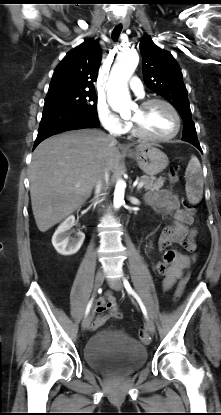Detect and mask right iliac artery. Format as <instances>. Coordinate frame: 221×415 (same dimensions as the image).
<instances>
[{"label":"right iliac artery","mask_w":221,"mask_h":415,"mask_svg":"<svg viewBox=\"0 0 221 415\" xmlns=\"http://www.w3.org/2000/svg\"><path fill=\"white\" fill-rule=\"evenodd\" d=\"M92 301H93V299H91V300L89 301V303H88V305H87V308H86V311H85V315H87V314L89 313L90 308H91V305H92Z\"/></svg>","instance_id":"1"}]
</instances>
